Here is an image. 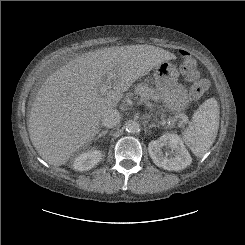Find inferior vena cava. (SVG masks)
<instances>
[{"mask_svg":"<svg viewBox=\"0 0 245 245\" xmlns=\"http://www.w3.org/2000/svg\"><path fill=\"white\" fill-rule=\"evenodd\" d=\"M121 115L118 110H107L101 118L102 125L107 128H113L120 123Z\"/></svg>","mask_w":245,"mask_h":245,"instance_id":"obj_1","label":"inferior vena cava"}]
</instances>
